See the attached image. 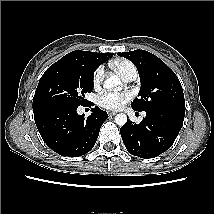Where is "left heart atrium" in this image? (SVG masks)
<instances>
[{"label":"left heart atrium","instance_id":"left-heart-atrium-1","mask_svg":"<svg viewBox=\"0 0 214 214\" xmlns=\"http://www.w3.org/2000/svg\"><path fill=\"white\" fill-rule=\"evenodd\" d=\"M132 98L130 91H105L97 99L98 104L109 110H119Z\"/></svg>","mask_w":214,"mask_h":214}]
</instances>
